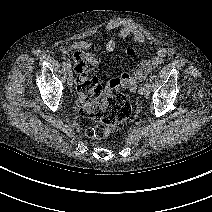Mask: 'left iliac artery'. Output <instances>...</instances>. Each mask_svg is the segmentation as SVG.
<instances>
[{"mask_svg":"<svg viewBox=\"0 0 212 212\" xmlns=\"http://www.w3.org/2000/svg\"><path fill=\"white\" fill-rule=\"evenodd\" d=\"M143 88H144L146 98H149V96H150V84L148 82V79L144 80Z\"/></svg>","mask_w":212,"mask_h":212,"instance_id":"1","label":"left iliac artery"}]
</instances>
